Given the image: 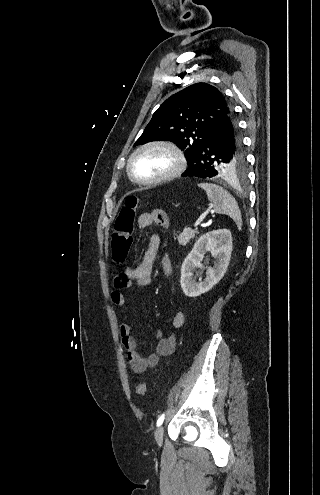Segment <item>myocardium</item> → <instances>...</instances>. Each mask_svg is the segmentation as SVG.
<instances>
[{"label": "myocardium", "instance_id": "f54148a6", "mask_svg": "<svg viewBox=\"0 0 320 495\" xmlns=\"http://www.w3.org/2000/svg\"><path fill=\"white\" fill-rule=\"evenodd\" d=\"M151 149H164L170 152L174 158V167L169 172L159 177L151 178V179H140L134 174L132 170V163L138 154ZM185 167H186L185 156L182 150L176 144L167 140H154L140 145L130 154L127 160L126 170L130 179L137 184L158 185L175 179L184 171Z\"/></svg>", "mask_w": 320, "mask_h": 495}]
</instances>
